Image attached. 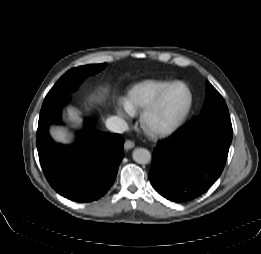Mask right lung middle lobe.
<instances>
[{
    "label": "right lung middle lobe",
    "instance_id": "1",
    "mask_svg": "<svg viewBox=\"0 0 261 254\" xmlns=\"http://www.w3.org/2000/svg\"><path fill=\"white\" fill-rule=\"evenodd\" d=\"M106 66L107 64L104 63L98 65H86L69 70L53 86L44 101L69 95L77 89L86 77L100 72Z\"/></svg>",
    "mask_w": 261,
    "mask_h": 254
}]
</instances>
